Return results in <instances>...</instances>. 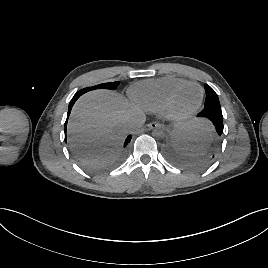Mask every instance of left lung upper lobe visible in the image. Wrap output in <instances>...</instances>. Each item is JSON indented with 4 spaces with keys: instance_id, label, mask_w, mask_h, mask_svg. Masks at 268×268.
Segmentation results:
<instances>
[{
    "instance_id": "obj_1",
    "label": "left lung upper lobe",
    "mask_w": 268,
    "mask_h": 268,
    "mask_svg": "<svg viewBox=\"0 0 268 268\" xmlns=\"http://www.w3.org/2000/svg\"><path fill=\"white\" fill-rule=\"evenodd\" d=\"M205 91H206V100H205V108L212 107V108H221L219 98L215 91L207 84H205Z\"/></svg>"
}]
</instances>
